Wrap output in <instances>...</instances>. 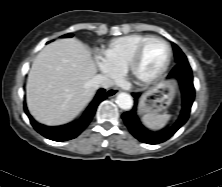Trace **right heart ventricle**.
Segmentation results:
<instances>
[{"label":"right heart ventricle","instance_id":"obj_1","mask_svg":"<svg viewBox=\"0 0 222 187\" xmlns=\"http://www.w3.org/2000/svg\"><path fill=\"white\" fill-rule=\"evenodd\" d=\"M150 37L132 34L114 38L102 49V56L119 72L125 71L136 49Z\"/></svg>","mask_w":222,"mask_h":187}]
</instances>
